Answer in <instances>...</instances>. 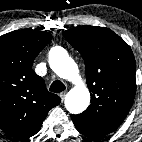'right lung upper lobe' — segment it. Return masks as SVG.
<instances>
[{
  "mask_svg": "<svg viewBox=\"0 0 142 142\" xmlns=\"http://www.w3.org/2000/svg\"><path fill=\"white\" fill-rule=\"evenodd\" d=\"M51 38L36 30L0 36V128L15 139L35 135L48 111L61 102L31 68Z\"/></svg>",
  "mask_w": 142,
  "mask_h": 142,
  "instance_id": "1",
  "label": "right lung upper lobe"
}]
</instances>
